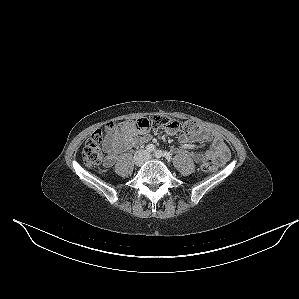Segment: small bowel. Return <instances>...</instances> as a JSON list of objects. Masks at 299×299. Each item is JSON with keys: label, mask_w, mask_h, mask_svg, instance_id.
<instances>
[{"label": "small bowel", "mask_w": 299, "mask_h": 299, "mask_svg": "<svg viewBox=\"0 0 299 299\" xmlns=\"http://www.w3.org/2000/svg\"><path fill=\"white\" fill-rule=\"evenodd\" d=\"M150 139L151 136L147 130L140 131L128 126L127 122H123L116 137L106 145L107 156L104 160V166L111 167L118 153L130 149L138 143L149 141ZM194 141L209 142L212 146L211 149L205 152H192L190 154L192 159L199 166L207 162H211L216 166H222L229 160L230 150L222 136L218 133L203 128L194 136L181 135L179 137V142L183 149L188 148ZM180 151L179 149L175 150V152Z\"/></svg>", "instance_id": "c3829d8e"}]
</instances>
